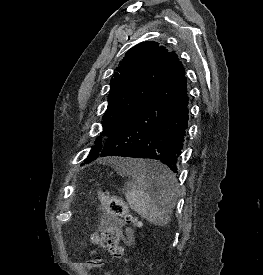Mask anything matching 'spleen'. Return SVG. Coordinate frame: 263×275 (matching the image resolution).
<instances>
[{
	"label": "spleen",
	"instance_id": "spleen-1",
	"mask_svg": "<svg viewBox=\"0 0 263 275\" xmlns=\"http://www.w3.org/2000/svg\"><path fill=\"white\" fill-rule=\"evenodd\" d=\"M146 169L162 171L171 177L169 185L165 186L157 198L150 196L148 191V176ZM119 172L131 178L128 183L126 200L130 207L148 222L164 226L169 220V212L175 201L176 179L174 174L164 165L147 162L142 159H124L118 163Z\"/></svg>",
	"mask_w": 263,
	"mask_h": 275
}]
</instances>
